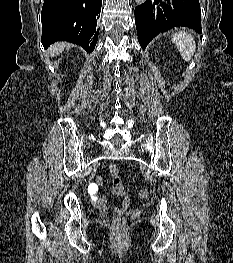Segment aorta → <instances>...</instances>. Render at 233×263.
Instances as JSON below:
<instances>
[{"label": "aorta", "instance_id": "obj_1", "mask_svg": "<svg viewBox=\"0 0 233 263\" xmlns=\"http://www.w3.org/2000/svg\"><path fill=\"white\" fill-rule=\"evenodd\" d=\"M136 1L142 3V2H144L145 0H136Z\"/></svg>", "mask_w": 233, "mask_h": 263}]
</instances>
